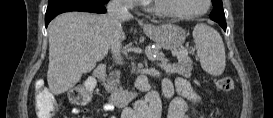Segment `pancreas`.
Masks as SVG:
<instances>
[{"label": "pancreas", "mask_w": 273, "mask_h": 118, "mask_svg": "<svg viewBox=\"0 0 273 118\" xmlns=\"http://www.w3.org/2000/svg\"><path fill=\"white\" fill-rule=\"evenodd\" d=\"M154 52L157 54L154 60L160 61L159 66L165 70L167 73H178L185 77L191 76L192 61L188 56L187 49H181L177 55L178 63L177 64H167V59L164 58V55L159 52L158 49H155ZM120 84V71L115 70L109 74V77L105 81V87L107 90L113 94L119 91Z\"/></svg>", "instance_id": "obj_1"}]
</instances>
